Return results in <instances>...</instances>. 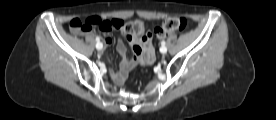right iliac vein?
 Here are the masks:
<instances>
[{"mask_svg":"<svg viewBox=\"0 0 276 120\" xmlns=\"http://www.w3.org/2000/svg\"><path fill=\"white\" fill-rule=\"evenodd\" d=\"M101 47H102V44L100 42L96 44L97 50H101L102 49Z\"/></svg>","mask_w":276,"mask_h":120,"instance_id":"right-iliac-vein-1","label":"right iliac vein"}]
</instances>
